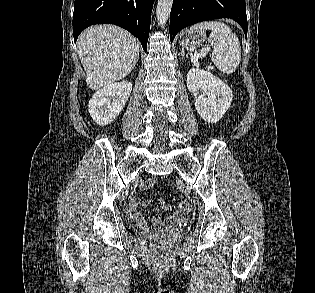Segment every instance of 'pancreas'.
<instances>
[{
	"instance_id": "1",
	"label": "pancreas",
	"mask_w": 315,
	"mask_h": 293,
	"mask_svg": "<svg viewBox=\"0 0 315 293\" xmlns=\"http://www.w3.org/2000/svg\"><path fill=\"white\" fill-rule=\"evenodd\" d=\"M213 68L212 67H208V70H212Z\"/></svg>"
}]
</instances>
